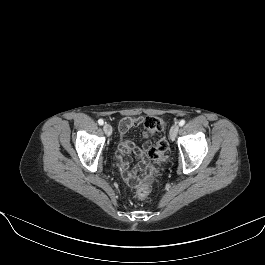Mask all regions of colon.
<instances>
[{
  "label": "colon",
  "instance_id": "1",
  "mask_svg": "<svg viewBox=\"0 0 265 265\" xmlns=\"http://www.w3.org/2000/svg\"><path fill=\"white\" fill-rule=\"evenodd\" d=\"M144 127L148 132L156 136L154 144L148 150V157L153 161H164L167 158L169 143L164 138L159 136V134L165 129V123L162 119L154 116H149L142 121ZM132 185L138 186V194L141 198H145L149 193V187L146 185H138L133 182Z\"/></svg>",
  "mask_w": 265,
  "mask_h": 265
}]
</instances>
